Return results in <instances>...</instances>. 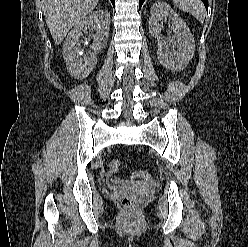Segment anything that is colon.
Returning a JSON list of instances; mask_svg holds the SVG:
<instances>
[{"label": "colon", "instance_id": "colon-1", "mask_svg": "<svg viewBox=\"0 0 248 247\" xmlns=\"http://www.w3.org/2000/svg\"><path fill=\"white\" fill-rule=\"evenodd\" d=\"M122 168V163L121 161L114 159L109 163V169L111 172H118L120 171ZM133 176L135 178H146V179H150L151 178V174L145 171H136ZM122 206L126 209V210H133L137 207V201L133 198V197H125L122 200Z\"/></svg>", "mask_w": 248, "mask_h": 247}]
</instances>
